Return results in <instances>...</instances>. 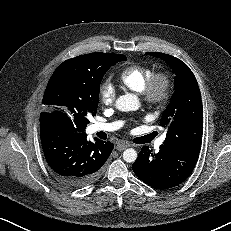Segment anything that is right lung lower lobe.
<instances>
[{
    "mask_svg": "<svg viewBox=\"0 0 231 231\" xmlns=\"http://www.w3.org/2000/svg\"><path fill=\"white\" fill-rule=\"evenodd\" d=\"M85 133H75L48 112L40 114V138L45 159L56 179L70 188H82L94 182L110 156L114 145Z\"/></svg>",
    "mask_w": 231,
    "mask_h": 231,
    "instance_id": "obj_1",
    "label": "right lung lower lobe"
}]
</instances>
